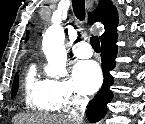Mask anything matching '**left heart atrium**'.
Masks as SVG:
<instances>
[{"instance_id":"left-heart-atrium-1","label":"left heart atrium","mask_w":145,"mask_h":124,"mask_svg":"<svg viewBox=\"0 0 145 124\" xmlns=\"http://www.w3.org/2000/svg\"><path fill=\"white\" fill-rule=\"evenodd\" d=\"M74 73L79 88L87 94L94 93L102 83L100 68L94 61L78 63L74 68Z\"/></svg>"}]
</instances>
